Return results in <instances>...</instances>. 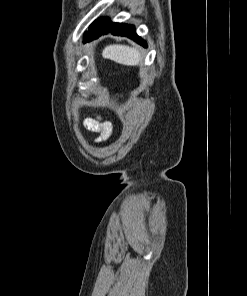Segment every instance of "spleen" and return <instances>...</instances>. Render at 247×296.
I'll return each mask as SVG.
<instances>
[{"mask_svg":"<svg viewBox=\"0 0 247 296\" xmlns=\"http://www.w3.org/2000/svg\"><path fill=\"white\" fill-rule=\"evenodd\" d=\"M102 56L105 59L127 66H136L142 60L138 49L126 45H109L104 48Z\"/></svg>","mask_w":247,"mask_h":296,"instance_id":"1","label":"spleen"}]
</instances>
